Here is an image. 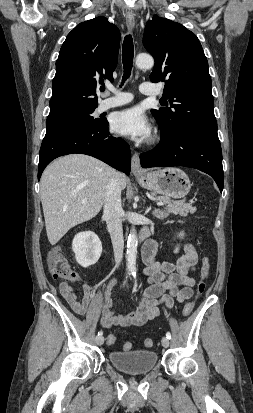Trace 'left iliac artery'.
<instances>
[{
  "mask_svg": "<svg viewBox=\"0 0 253 413\" xmlns=\"http://www.w3.org/2000/svg\"><path fill=\"white\" fill-rule=\"evenodd\" d=\"M135 276V275H134ZM166 337H167V339H171V334H170V332H167L166 333Z\"/></svg>",
  "mask_w": 253,
  "mask_h": 413,
  "instance_id": "left-iliac-artery-1",
  "label": "left iliac artery"
}]
</instances>
